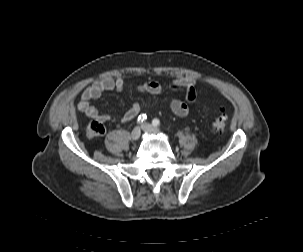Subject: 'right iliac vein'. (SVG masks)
Returning <instances> with one entry per match:
<instances>
[{"label":"right iliac vein","instance_id":"right-iliac-vein-1","mask_svg":"<svg viewBox=\"0 0 303 252\" xmlns=\"http://www.w3.org/2000/svg\"><path fill=\"white\" fill-rule=\"evenodd\" d=\"M140 135H141V130L139 127H135L132 132H131V140L133 141H137L139 138H140Z\"/></svg>","mask_w":303,"mask_h":252}]
</instances>
